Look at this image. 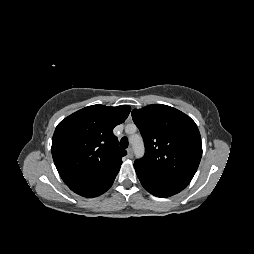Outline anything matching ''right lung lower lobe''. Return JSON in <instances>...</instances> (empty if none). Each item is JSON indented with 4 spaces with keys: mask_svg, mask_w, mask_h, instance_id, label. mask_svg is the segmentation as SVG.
<instances>
[{
    "mask_svg": "<svg viewBox=\"0 0 254 254\" xmlns=\"http://www.w3.org/2000/svg\"><path fill=\"white\" fill-rule=\"evenodd\" d=\"M118 171L119 169L97 178L77 181L68 186L72 191L83 197H97L112 186Z\"/></svg>",
    "mask_w": 254,
    "mask_h": 254,
    "instance_id": "right-lung-lower-lobe-1",
    "label": "right lung lower lobe"
}]
</instances>
